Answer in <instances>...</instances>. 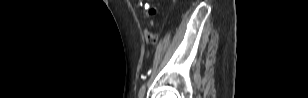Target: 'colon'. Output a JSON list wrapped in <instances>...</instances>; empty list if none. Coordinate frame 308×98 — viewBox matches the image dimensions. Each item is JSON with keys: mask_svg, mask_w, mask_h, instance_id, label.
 <instances>
[{"mask_svg": "<svg viewBox=\"0 0 308 98\" xmlns=\"http://www.w3.org/2000/svg\"><path fill=\"white\" fill-rule=\"evenodd\" d=\"M146 36V39L149 41V42H154L156 40V37L153 33H148L145 35Z\"/></svg>", "mask_w": 308, "mask_h": 98, "instance_id": "obj_1", "label": "colon"}]
</instances>
